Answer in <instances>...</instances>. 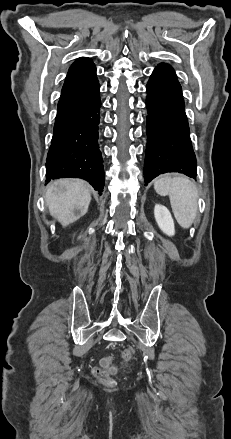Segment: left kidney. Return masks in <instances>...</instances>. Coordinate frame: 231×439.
<instances>
[{
  "label": "left kidney",
  "mask_w": 231,
  "mask_h": 439,
  "mask_svg": "<svg viewBox=\"0 0 231 439\" xmlns=\"http://www.w3.org/2000/svg\"><path fill=\"white\" fill-rule=\"evenodd\" d=\"M154 216L159 228L168 236L175 234L174 221L169 210L161 205L156 204L154 208Z\"/></svg>",
  "instance_id": "5707ae66"
}]
</instances>
